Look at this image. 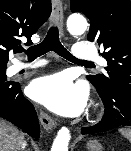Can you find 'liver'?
<instances>
[{"instance_id":"liver-1","label":"liver","mask_w":131,"mask_h":151,"mask_svg":"<svg viewBox=\"0 0 131 151\" xmlns=\"http://www.w3.org/2000/svg\"><path fill=\"white\" fill-rule=\"evenodd\" d=\"M22 142L21 132L13 125L0 119V151H18Z\"/></svg>"}]
</instances>
